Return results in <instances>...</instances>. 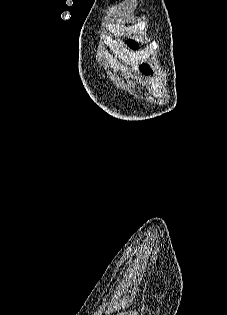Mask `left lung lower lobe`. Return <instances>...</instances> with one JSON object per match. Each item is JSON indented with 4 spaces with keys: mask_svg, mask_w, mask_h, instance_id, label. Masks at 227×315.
Listing matches in <instances>:
<instances>
[{
    "mask_svg": "<svg viewBox=\"0 0 227 315\" xmlns=\"http://www.w3.org/2000/svg\"><path fill=\"white\" fill-rule=\"evenodd\" d=\"M147 69V66L145 64L142 65V70Z\"/></svg>",
    "mask_w": 227,
    "mask_h": 315,
    "instance_id": "1",
    "label": "left lung lower lobe"
}]
</instances>
